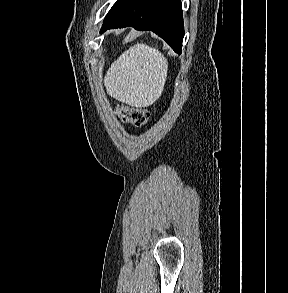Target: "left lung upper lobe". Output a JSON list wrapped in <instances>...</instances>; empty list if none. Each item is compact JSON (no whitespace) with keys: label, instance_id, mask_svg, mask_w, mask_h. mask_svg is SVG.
<instances>
[{"label":"left lung upper lobe","instance_id":"obj_1","mask_svg":"<svg viewBox=\"0 0 288 293\" xmlns=\"http://www.w3.org/2000/svg\"><path fill=\"white\" fill-rule=\"evenodd\" d=\"M121 0H118L114 5H113V7L111 8V10L120 2ZM111 10L109 11V13L111 12ZM108 13V14H109Z\"/></svg>","mask_w":288,"mask_h":293}]
</instances>
